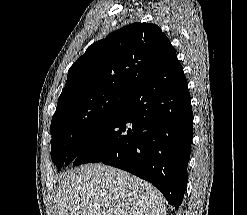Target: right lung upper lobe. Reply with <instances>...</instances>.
I'll use <instances>...</instances> for the list:
<instances>
[{
  "label": "right lung upper lobe",
  "mask_w": 247,
  "mask_h": 215,
  "mask_svg": "<svg viewBox=\"0 0 247 215\" xmlns=\"http://www.w3.org/2000/svg\"><path fill=\"white\" fill-rule=\"evenodd\" d=\"M175 52L155 24L133 23L89 46L69 69L58 99L116 91L133 93Z\"/></svg>",
  "instance_id": "cb5924a9"
}]
</instances>
